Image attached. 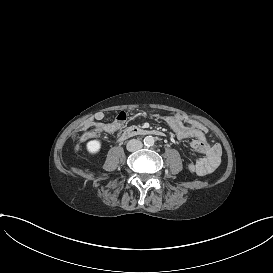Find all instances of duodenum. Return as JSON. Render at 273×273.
I'll return each instance as SVG.
<instances>
[{
	"mask_svg": "<svg viewBox=\"0 0 273 273\" xmlns=\"http://www.w3.org/2000/svg\"><path fill=\"white\" fill-rule=\"evenodd\" d=\"M145 135H152V136H163V132L157 129H147V128H140L137 126H131L126 128L119 136L120 141L127 140L129 138L135 136H145Z\"/></svg>",
	"mask_w": 273,
	"mask_h": 273,
	"instance_id": "obj_1",
	"label": "duodenum"
}]
</instances>
